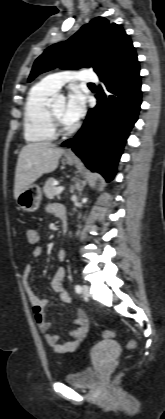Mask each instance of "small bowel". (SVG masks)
I'll use <instances>...</instances> for the list:
<instances>
[{
    "label": "small bowel",
    "mask_w": 165,
    "mask_h": 419,
    "mask_svg": "<svg viewBox=\"0 0 165 419\" xmlns=\"http://www.w3.org/2000/svg\"><path fill=\"white\" fill-rule=\"evenodd\" d=\"M51 212L56 213L57 208L53 207L50 209ZM34 234V238L31 234ZM27 238L30 243H36L39 241L38 231L34 228H29L27 230ZM42 248L35 247L31 255L34 259L39 258L42 255ZM65 258V252L63 250L59 251L58 259L63 261ZM32 272V265L28 264L24 269V280L25 289L27 293L28 300L32 306L34 318L37 323L39 330L45 334L46 343L50 348L58 354H74L78 351L80 345L86 338L87 332L89 330V321L87 314L84 310L79 309L74 314V325L75 328L71 330L66 338L68 340H62V336L54 333H48L50 328L49 322L45 318L44 309L48 305V300L45 298H40L27 283V279ZM66 276V270L63 267H59L54 277L51 281V288L56 294L58 300L62 304H68L71 302V297L67 290L63 287V280Z\"/></svg>",
    "instance_id": "obj_1"
}]
</instances>
